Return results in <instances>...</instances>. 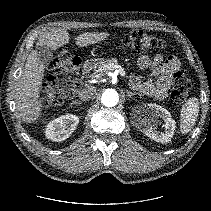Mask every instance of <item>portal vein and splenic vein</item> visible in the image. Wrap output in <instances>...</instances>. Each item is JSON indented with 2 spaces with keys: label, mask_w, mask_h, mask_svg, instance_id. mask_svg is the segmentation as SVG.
Returning a JSON list of instances; mask_svg holds the SVG:
<instances>
[{
  "label": "portal vein and splenic vein",
  "mask_w": 211,
  "mask_h": 211,
  "mask_svg": "<svg viewBox=\"0 0 211 211\" xmlns=\"http://www.w3.org/2000/svg\"><path fill=\"white\" fill-rule=\"evenodd\" d=\"M111 67H112V68H115V69H118V72H119L123 77H125L126 73H125L124 69H123L121 66H119V65H112ZM94 77L97 78V79L100 78L99 75H95Z\"/></svg>",
  "instance_id": "18ae733b"
}]
</instances>
